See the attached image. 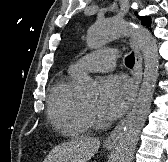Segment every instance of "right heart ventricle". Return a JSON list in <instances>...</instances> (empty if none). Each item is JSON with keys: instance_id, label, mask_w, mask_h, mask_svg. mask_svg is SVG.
Here are the masks:
<instances>
[{"instance_id": "obj_1", "label": "right heart ventricle", "mask_w": 168, "mask_h": 162, "mask_svg": "<svg viewBox=\"0 0 168 162\" xmlns=\"http://www.w3.org/2000/svg\"><path fill=\"white\" fill-rule=\"evenodd\" d=\"M76 73L68 70L59 75L49 94L47 110L56 130L67 136H80L89 129V116L84 104L74 93Z\"/></svg>"}]
</instances>
